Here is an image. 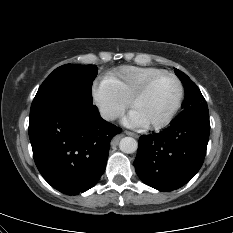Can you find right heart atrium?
<instances>
[{
  "mask_svg": "<svg viewBox=\"0 0 233 233\" xmlns=\"http://www.w3.org/2000/svg\"><path fill=\"white\" fill-rule=\"evenodd\" d=\"M92 98L106 120L111 121L120 117L126 109V103L103 82L93 85Z\"/></svg>",
  "mask_w": 233,
  "mask_h": 233,
  "instance_id": "d8ad5b80",
  "label": "right heart atrium"
}]
</instances>
